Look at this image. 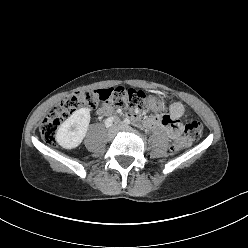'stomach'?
<instances>
[{
    "label": "stomach",
    "mask_w": 248,
    "mask_h": 248,
    "mask_svg": "<svg viewBox=\"0 0 248 248\" xmlns=\"http://www.w3.org/2000/svg\"><path fill=\"white\" fill-rule=\"evenodd\" d=\"M143 104L147 111L156 115L164 113L168 106L166 98L156 92L147 94Z\"/></svg>",
    "instance_id": "0dacf381"
}]
</instances>
